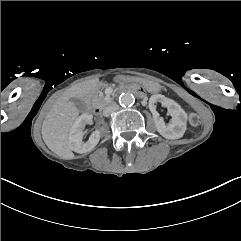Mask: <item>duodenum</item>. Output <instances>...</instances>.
Masks as SVG:
<instances>
[{"mask_svg":"<svg viewBox=\"0 0 241 241\" xmlns=\"http://www.w3.org/2000/svg\"><path fill=\"white\" fill-rule=\"evenodd\" d=\"M117 93L118 94H120V93H133V94H135L139 97H142L144 95L143 90L137 85H130V86L122 87L118 90ZM94 111H95L96 114H99L101 112V109L97 107V108L94 109Z\"/></svg>","mask_w":241,"mask_h":241,"instance_id":"obj_1","label":"duodenum"}]
</instances>
